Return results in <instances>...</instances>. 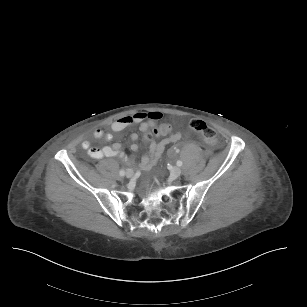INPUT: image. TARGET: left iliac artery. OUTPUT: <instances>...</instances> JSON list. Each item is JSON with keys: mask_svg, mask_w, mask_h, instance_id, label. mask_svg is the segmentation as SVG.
I'll return each mask as SVG.
<instances>
[{"mask_svg": "<svg viewBox=\"0 0 307 307\" xmlns=\"http://www.w3.org/2000/svg\"><path fill=\"white\" fill-rule=\"evenodd\" d=\"M176 164H177V166H179V167L183 165L182 161H180V160H178Z\"/></svg>", "mask_w": 307, "mask_h": 307, "instance_id": "left-iliac-artery-1", "label": "left iliac artery"}]
</instances>
